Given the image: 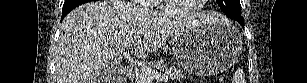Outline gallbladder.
<instances>
[{"instance_id": "1", "label": "gallbladder", "mask_w": 307, "mask_h": 83, "mask_svg": "<svg viewBox=\"0 0 307 83\" xmlns=\"http://www.w3.org/2000/svg\"><path fill=\"white\" fill-rule=\"evenodd\" d=\"M114 77H115V72L111 71L108 68H105L99 73L98 79L101 80L102 83H111L115 82L111 81L113 80Z\"/></svg>"}]
</instances>
